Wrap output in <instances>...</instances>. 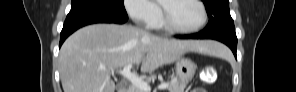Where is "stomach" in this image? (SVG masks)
Wrapping results in <instances>:
<instances>
[{"label":"stomach","instance_id":"1","mask_svg":"<svg viewBox=\"0 0 296 92\" xmlns=\"http://www.w3.org/2000/svg\"><path fill=\"white\" fill-rule=\"evenodd\" d=\"M197 65L188 58H179L176 63V74L181 83H188L194 77Z\"/></svg>","mask_w":296,"mask_h":92}]
</instances>
